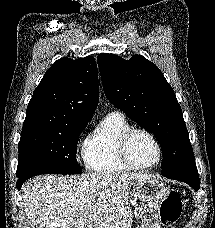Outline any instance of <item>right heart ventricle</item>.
<instances>
[{
    "label": "right heart ventricle",
    "instance_id": "obj_1",
    "mask_svg": "<svg viewBox=\"0 0 215 228\" xmlns=\"http://www.w3.org/2000/svg\"><path fill=\"white\" fill-rule=\"evenodd\" d=\"M129 128L131 124L123 113L119 111L108 113L83 142L82 156L86 167L101 174L128 171L119 159L117 142Z\"/></svg>",
    "mask_w": 215,
    "mask_h": 228
}]
</instances>
